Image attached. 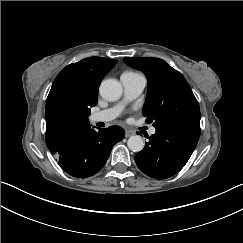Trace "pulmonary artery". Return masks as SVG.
<instances>
[{
  "instance_id": "e3ab8cb5",
  "label": "pulmonary artery",
  "mask_w": 243,
  "mask_h": 243,
  "mask_svg": "<svg viewBox=\"0 0 243 243\" xmlns=\"http://www.w3.org/2000/svg\"><path fill=\"white\" fill-rule=\"evenodd\" d=\"M121 82L124 88L123 103L129 102L137 98L142 93L146 85V80L142 75H140L136 79L121 78ZM123 103L117 104L112 108L93 113L91 115L92 123L112 121L119 115ZM155 133L156 128L153 126L150 127L149 134L154 135Z\"/></svg>"
}]
</instances>
